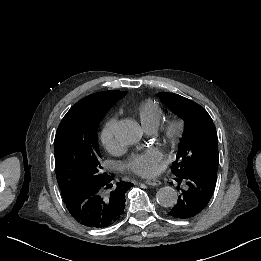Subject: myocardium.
Here are the masks:
<instances>
[{"mask_svg":"<svg viewBox=\"0 0 261 261\" xmlns=\"http://www.w3.org/2000/svg\"><path fill=\"white\" fill-rule=\"evenodd\" d=\"M151 134L159 139L170 153L177 151L186 141L188 124L184 118L172 117L163 125L153 129Z\"/></svg>","mask_w":261,"mask_h":261,"instance_id":"obj_1","label":"myocardium"}]
</instances>
